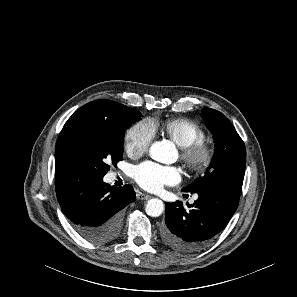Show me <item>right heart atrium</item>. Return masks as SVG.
Wrapping results in <instances>:
<instances>
[{"label":"right heart atrium","mask_w":297,"mask_h":297,"mask_svg":"<svg viewBox=\"0 0 297 297\" xmlns=\"http://www.w3.org/2000/svg\"><path fill=\"white\" fill-rule=\"evenodd\" d=\"M154 133L147 121H140L131 126L125 134V149L130 156L139 157L149 148Z\"/></svg>","instance_id":"obj_1"}]
</instances>
